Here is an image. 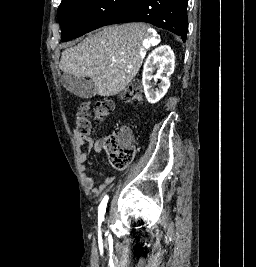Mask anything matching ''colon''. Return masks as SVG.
Returning a JSON list of instances; mask_svg holds the SVG:
<instances>
[{
  "label": "colon",
  "instance_id": "colon-1",
  "mask_svg": "<svg viewBox=\"0 0 256 267\" xmlns=\"http://www.w3.org/2000/svg\"><path fill=\"white\" fill-rule=\"evenodd\" d=\"M125 103H139L143 99V89L138 80H132L128 87L121 93ZM113 100H104L93 109L89 104L78 107L75 122L77 132L85 137L92 135L90 117L93 115L98 121L109 118L114 110ZM103 147L107 150L110 164L114 168H124L135 158L136 147L130 141L128 130L120 131L118 137H107L104 139Z\"/></svg>",
  "mask_w": 256,
  "mask_h": 267
}]
</instances>
